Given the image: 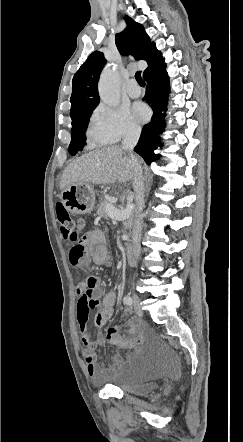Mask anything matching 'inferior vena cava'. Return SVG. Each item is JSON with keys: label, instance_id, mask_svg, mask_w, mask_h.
Listing matches in <instances>:
<instances>
[{"label": "inferior vena cava", "instance_id": "obj_1", "mask_svg": "<svg viewBox=\"0 0 243 442\" xmlns=\"http://www.w3.org/2000/svg\"><path fill=\"white\" fill-rule=\"evenodd\" d=\"M140 134H141V128L135 125H131L128 128L122 141V148L128 151L134 164L133 186L138 200L139 211H141L142 207L144 206V177H143V170L141 164L137 159V157H135L133 149L139 140ZM142 228H143V218L141 215H138L134 221V228L132 234V251L134 257H137L140 254Z\"/></svg>", "mask_w": 243, "mask_h": 442}]
</instances>
